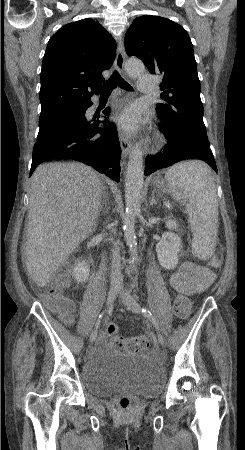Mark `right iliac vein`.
Listing matches in <instances>:
<instances>
[{
    "label": "right iliac vein",
    "instance_id": "63e3f726",
    "mask_svg": "<svg viewBox=\"0 0 245 450\" xmlns=\"http://www.w3.org/2000/svg\"><path fill=\"white\" fill-rule=\"evenodd\" d=\"M119 290H120V287L118 285L110 286L108 296H107V301H106L107 306H110L114 302ZM96 338H97V330H94L90 335V341L94 342L96 340Z\"/></svg>",
    "mask_w": 245,
    "mask_h": 450
}]
</instances>
